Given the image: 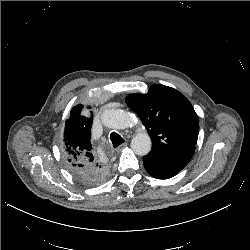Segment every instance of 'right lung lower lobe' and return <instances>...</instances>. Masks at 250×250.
<instances>
[{
  "instance_id": "right-lung-lower-lobe-1",
  "label": "right lung lower lobe",
  "mask_w": 250,
  "mask_h": 250,
  "mask_svg": "<svg viewBox=\"0 0 250 250\" xmlns=\"http://www.w3.org/2000/svg\"><path fill=\"white\" fill-rule=\"evenodd\" d=\"M69 170L80 182L87 185L100 184L104 182L109 175V171L107 169L94 172L90 170L75 169L69 166Z\"/></svg>"
}]
</instances>
